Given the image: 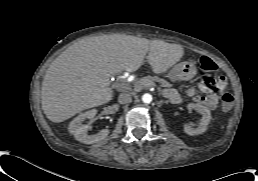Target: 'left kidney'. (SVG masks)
<instances>
[{"label": "left kidney", "mask_w": 258, "mask_h": 181, "mask_svg": "<svg viewBox=\"0 0 258 181\" xmlns=\"http://www.w3.org/2000/svg\"><path fill=\"white\" fill-rule=\"evenodd\" d=\"M190 108H193L197 110L199 113L202 114V119L200 121V124L197 128H192L190 125H185L184 127V132L187 133L188 135H197L205 132L208 128V125L211 120V114L210 111L207 107L196 103V104H189Z\"/></svg>", "instance_id": "1"}]
</instances>
